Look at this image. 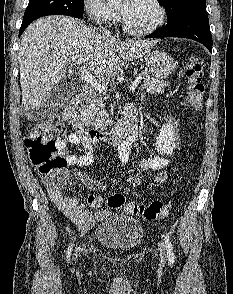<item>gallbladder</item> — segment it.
Masks as SVG:
<instances>
[{
    "instance_id": "obj_1",
    "label": "gallbladder",
    "mask_w": 233,
    "mask_h": 294,
    "mask_svg": "<svg viewBox=\"0 0 233 294\" xmlns=\"http://www.w3.org/2000/svg\"><path fill=\"white\" fill-rule=\"evenodd\" d=\"M71 93V90L64 82L56 85L51 90L49 97L43 102L42 107L44 108V112L47 113L57 110L69 99Z\"/></svg>"
}]
</instances>
